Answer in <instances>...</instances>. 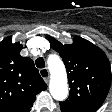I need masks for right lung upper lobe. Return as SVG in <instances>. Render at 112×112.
<instances>
[{
    "label": "right lung upper lobe",
    "instance_id": "cb5924a9",
    "mask_svg": "<svg viewBox=\"0 0 112 112\" xmlns=\"http://www.w3.org/2000/svg\"><path fill=\"white\" fill-rule=\"evenodd\" d=\"M20 43L0 42V112H29L36 95L47 89L34 62L22 57Z\"/></svg>",
    "mask_w": 112,
    "mask_h": 112
}]
</instances>
